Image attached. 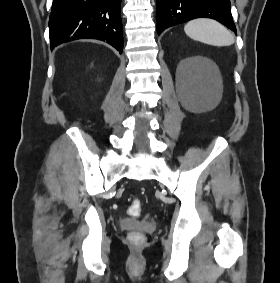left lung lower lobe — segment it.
I'll return each mask as SVG.
<instances>
[{
  "mask_svg": "<svg viewBox=\"0 0 280 283\" xmlns=\"http://www.w3.org/2000/svg\"><path fill=\"white\" fill-rule=\"evenodd\" d=\"M200 17L215 19L236 34L230 0H157L158 35L168 27Z\"/></svg>",
  "mask_w": 280,
  "mask_h": 283,
  "instance_id": "left-lung-lower-lobe-1",
  "label": "left lung lower lobe"
}]
</instances>
